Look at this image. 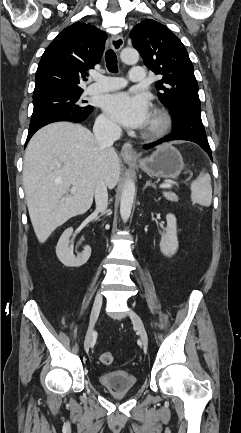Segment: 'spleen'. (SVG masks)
<instances>
[{
  "mask_svg": "<svg viewBox=\"0 0 241 433\" xmlns=\"http://www.w3.org/2000/svg\"><path fill=\"white\" fill-rule=\"evenodd\" d=\"M191 201L209 207L212 201L211 177L202 171L191 183Z\"/></svg>",
  "mask_w": 241,
  "mask_h": 433,
  "instance_id": "spleen-1",
  "label": "spleen"
}]
</instances>
